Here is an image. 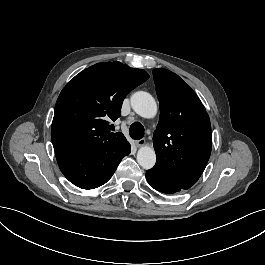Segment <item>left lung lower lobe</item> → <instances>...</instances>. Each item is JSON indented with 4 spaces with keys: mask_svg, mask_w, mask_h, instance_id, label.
<instances>
[{
    "mask_svg": "<svg viewBox=\"0 0 265 265\" xmlns=\"http://www.w3.org/2000/svg\"><path fill=\"white\" fill-rule=\"evenodd\" d=\"M146 179L154 189L165 194H174L184 190L179 185L152 170L146 172Z\"/></svg>",
    "mask_w": 265,
    "mask_h": 265,
    "instance_id": "0a47b994",
    "label": "left lung lower lobe"
}]
</instances>
